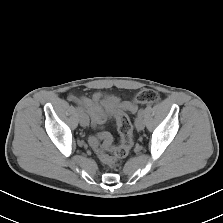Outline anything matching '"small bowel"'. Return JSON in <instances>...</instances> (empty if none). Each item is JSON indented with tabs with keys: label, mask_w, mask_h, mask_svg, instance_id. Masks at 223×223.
Listing matches in <instances>:
<instances>
[{
	"label": "small bowel",
	"mask_w": 223,
	"mask_h": 223,
	"mask_svg": "<svg viewBox=\"0 0 223 223\" xmlns=\"http://www.w3.org/2000/svg\"><path fill=\"white\" fill-rule=\"evenodd\" d=\"M103 99H114L102 92H96L92 98L69 95V100L81 105L91 118L94 127L98 128L106 123V113L101 104Z\"/></svg>",
	"instance_id": "1"
}]
</instances>
